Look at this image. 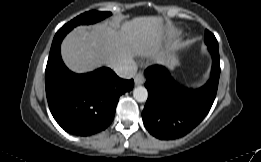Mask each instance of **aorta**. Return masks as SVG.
<instances>
[{"label": "aorta", "instance_id": "1", "mask_svg": "<svg viewBox=\"0 0 261 162\" xmlns=\"http://www.w3.org/2000/svg\"><path fill=\"white\" fill-rule=\"evenodd\" d=\"M133 97L138 102H145L148 98L147 89L143 86H138L133 91Z\"/></svg>", "mask_w": 261, "mask_h": 162}]
</instances>
